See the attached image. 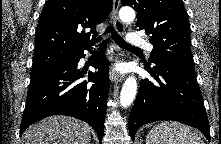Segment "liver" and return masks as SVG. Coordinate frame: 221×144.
I'll use <instances>...</instances> for the list:
<instances>
[{
    "mask_svg": "<svg viewBox=\"0 0 221 144\" xmlns=\"http://www.w3.org/2000/svg\"><path fill=\"white\" fill-rule=\"evenodd\" d=\"M91 127L72 117L51 116L30 126L21 144H90Z\"/></svg>",
    "mask_w": 221,
    "mask_h": 144,
    "instance_id": "liver-1",
    "label": "liver"
}]
</instances>
